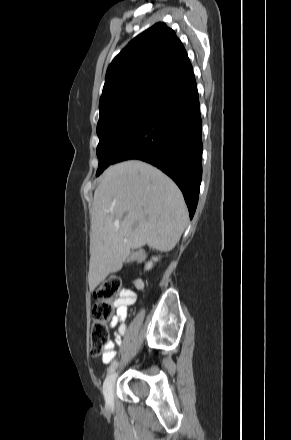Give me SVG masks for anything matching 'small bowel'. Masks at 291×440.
<instances>
[{
    "label": "small bowel",
    "instance_id": "obj_1",
    "mask_svg": "<svg viewBox=\"0 0 291 440\" xmlns=\"http://www.w3.org/2000/svg\"><path fill=\"white\" fill-rule=\"evenodd\" d=\"M135 301V294L129 289L120 295L114 302L116 314L112 318L109 327L114 330L115 341L109 342L106 352L103 355V362L109 363L115 356V344L123 340L127 332L126 319L128 317V307Z\"/></svg>",
    "mask_w": 291,
    "mask_h": 440
}]
</instances>
